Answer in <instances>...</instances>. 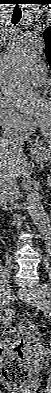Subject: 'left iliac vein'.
<instances>
[{"instance_id":"left-iliac-vein-1","label":"left iliac vein","mask_w":51,"mask_h":393,"mask_svg":"<svg viewBox=\"0 0 51 393\" xmlns=\"http://www.w3.org/2000/svg\"><path fill=\"white\" fill-rule=\"evenodd\" d=\"M48 290L43 286H33L30 289L20 290L19 294L27 298L28 303L34 305L44 311L49 312L51 310V303L46 298Z\"/></svg>"}]
</instances>
